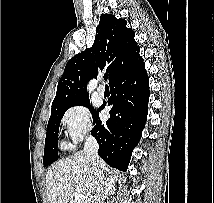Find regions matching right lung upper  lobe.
<instances>
[{
	"label": "right lung upper lobe",
	"mask_w": 214,
	"mask_h": 203,
	"mask_svg": "<svg viewBox=\"0 0 214 203\" xmlns=\"http://www.w3.org/2000/svg\"><path fill=\"white\" fill-rule=\"evenodd\" d=\"M126 23L111 14L101 15L93 46L67 62L51 112L88 98V81L96 77L98 70H106L110 84L143 62L135 33Z\"/></svg>",
	"instance_id": "1"
}]
</instances>
